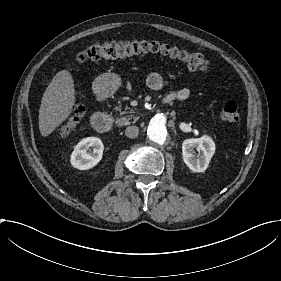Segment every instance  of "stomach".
I'll return each instance as SVG.
<instances>
[{"mask_svg":"<svg viewBox=\"0 0 281 281\" xmlns=\"http://www.w3.org/2000/svg\"><path fill=\"white\" fill-rule=\"evenodd\" d=\"M97 83V92L100 95L110 96L114 94L122 85V79L119 75L107 72L100 74L94 81Z\"/></svg>","mask_w":281,"mask_h":281,"instance_id":"0dacf381","label":"stomach"}]
</instances>
